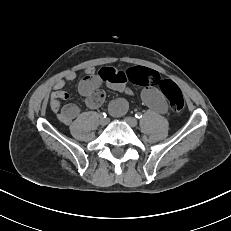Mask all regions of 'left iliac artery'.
Here are the masks:
<instances>
[{
	"mask_svg": "<svg viewBox=\"0 0 231 231\" xmlns=\"http://www.w3.org/2000/svg\"><path fill=\"white\" fill-rule=\"evenodd\" d=\"M135 117L137 118V119H141L142 117H143V115L141 114V113H136L135 114Z\"/></svg>",
	"mask_w": 231,
	"mask_h": 231,
	"instance_id": "44dca946",
	"label": "left iliac artery"
}]
</instances>
